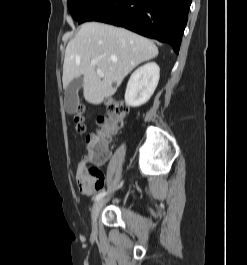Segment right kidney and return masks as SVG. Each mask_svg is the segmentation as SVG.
<instances>
[{
    "mask_svg": "<svg viewBox=\"0 0 247 265\" xmlns=\"http://www.w3.org/2000/svg\"><path fill=\"white\" fill-rule=\"evenodd\" d=\"M160 68L150 62L135 70L127 84L125 101L131 107L145 104L153 95L159 81Z\"/></svg>",
    "mask_w": 247,
    "mask_h": 265,
    "instance_id": "1",
    "label": "right kidney"
}]
</instances>
